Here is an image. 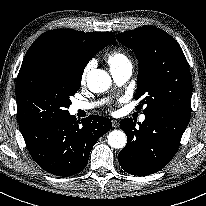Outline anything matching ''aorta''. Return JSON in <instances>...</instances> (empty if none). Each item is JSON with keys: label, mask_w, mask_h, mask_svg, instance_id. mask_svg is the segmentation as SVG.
Here are the masks:
<instances>
[{"label": "aorta", "mask_w": 206, "mask_h": 206, "mask_svg": "<svg viewBox=\"0 0 206 206\" xmlns=\"http://www.w3.org/2000/svg\"><path fill=\"white\" fill-rule=\"evenodd\" d=\"M112 80L110 75L101 69H93L87 77V85L90 91L101 93L109 89ZM127 142L126 135L121 130H113L108 135V144L115 149H122Z\"/></svg>", "instance_id": "762f6f07"}]
</instances>
